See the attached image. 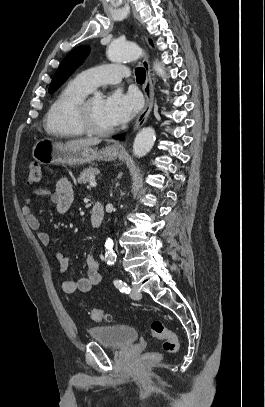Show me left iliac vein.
Masks as SVG:
<instances>
[{
	"instance_id": "1",
	"label": "left iliac vein",
	"mask_w": 265,
	"mask_h": 407,
	"mask_svg": "<svg viewBox=\"0 0 265 407\" xmlns=\"http://www.w3.org/2000/svg\"><path fill=\"white\" fill-rule=\"evenodd\" d=\"M130 297H131L132 299H134V300H139V299H141L142 295H141V293H140L135 287H132V291H131V293H130Z\"/></svg>"
}]
</instances>
